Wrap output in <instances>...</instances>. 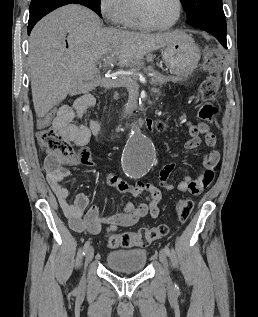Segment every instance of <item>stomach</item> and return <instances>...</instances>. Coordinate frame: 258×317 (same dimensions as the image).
Instances as JSON below:
<instances>
[{
    "mask_svg": "<svg viewBox=\"0 0 258 317\" xmlns=\"http://www.w3.org/2000/svg\"><path fill=\"white\" fill-rule=\"evenodd\" d=\"M200 50L190 34H183L181 40L167 44L163 50V60L172 74L186 76L200 58Z\"/></svg>",
    "mask_w": 258,
    "mask_h": 317,
    "instance_id": "1",
    "label": "stomach"
}]
</instances>
